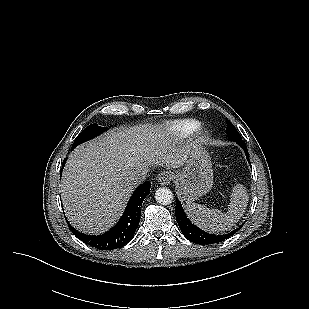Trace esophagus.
<instances>
[{
    "label": "esophagus",
    "instance_id": "1",
    "mask_svg": "<svg viewBox=\"0 0 309 309\" xmlns=\"http://www.w3.org/2000/svg\"><path fill=\"white\" fill-rule=\"evenodd\" d=\"M173 178V175L169 171H163L157 177V181L160 185H168Z\"/></svg>",
    "mask_w": 309,
    "mask_h": 309
}]
</instances>
